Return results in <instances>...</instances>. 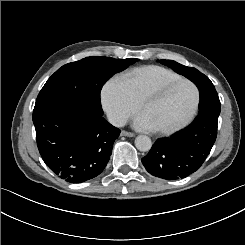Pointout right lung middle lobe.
Wrapping results in <instances>:
<instances>
[{
    "label": "right lung middle lobe",
    "instance_id": "dd1d6c3e",
    "mask_svg": "<svg viewBox=\"0 0 245 245\" xmlns=\"http://www.w3.org/2000/svg\"><path fill=\"white\" fill-rule=\"evenodd\" d=\"M138 59L86 57L59 68L41 89L35 107L53 102L79 104L95 115H103L100 91L115 73Z\"/></svg>",
    "mask_w": 245,
    "mask_h": 245
}]
</instances>
